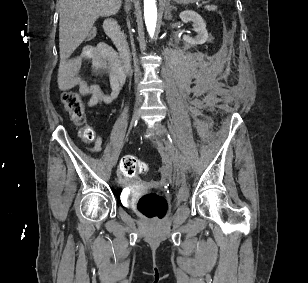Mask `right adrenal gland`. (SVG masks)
<instances>
[{
	"instance_id": "right-adrenal-gland-1",
	"label": "right adrenal gland",
	"mask_w": 308,
	"mask_h": 283,
	"mask_svg": "<svg viewBox=\"0 0 308 283\" xmlns=\"http://www.w3.org/2000/svg\"><path fill=\"white\" fill-rule=\"evenodd\" d=\"M132 1H133V0H125V6H124V8H125L126 11L130 10V8H131V2H132Z\"/></svg>"
}]
</instances>
